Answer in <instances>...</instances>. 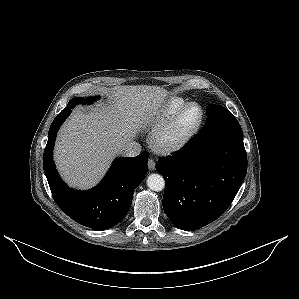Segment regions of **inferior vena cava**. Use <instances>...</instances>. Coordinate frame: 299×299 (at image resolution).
Returning a JSON list of instances; mask_svg holds the SVG:
<instances>
[{"label":"inferior vena cava","instance_id":"602c4592","mask_svg":"<svg viewBox=\"0 0 299 299\" xmlns=\"http://www.w3.org/2000/svg\"><path fill=\"white\" fill-rule=\"evenodd\" d=\"M141 153V145L136 141H130L123 145L121 154L127 157H135Z\"/></svg>","mask_w":299,"mask_h":299}]
</instances>
